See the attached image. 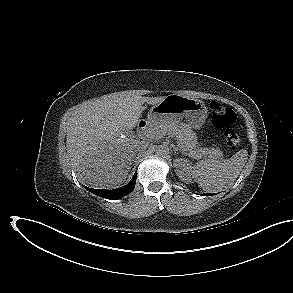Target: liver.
<instances>
[{
	"instance_id": "liver-1",
	"label": "liver",
	"mask_w": 293,
	"mask_h": 293,
	"mask_svg": "<svg viewBox=\"0 0 293 293\" xmlns=\"http://www.w3.org/2000/svg\"><path fill=\"white\" fill-rule=\"evenodd\" d=\"M164 98L112 93L76 108L67 122L66 147L79 178L96 187L122 184L138 141L129 133L139 122L143 104L155 105Z\"/></svg>"
}]
</instances>
